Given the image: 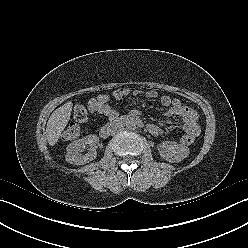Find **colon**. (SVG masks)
Returning <instances> with one entry per match:
<instances>
[{
	"label": "colon",
	"mask_w": 248,
	"mask_h": 248,
	"mask_svg": "<svg viewBox=\"0 0 248 248\" xmlns=\"http://www.w3.org/2000/svg\"><path fill=\"white\" fill-rule=\"evenodd\" d=\"M100 104L101 102L99 98H97V99H91L86 106L82 104L75 105L73 110L74 119L77 122H85L88 119L90 113H93L99 109ZM79 135H80V127L76 123H71L64 130L62 137L64 140L72 141L77 139ZM194 141H195L194 137L187 135H184L180 139V142L183 145H191L192 143H194Z\"/></svg>",
	"instance_id": "1"
}]
</instances>
